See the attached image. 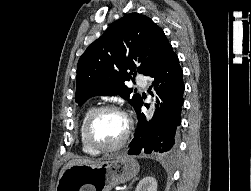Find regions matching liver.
Wrapping results in <instances>:
<instances>
[{"mask_svg": "<svg viewBox=\"0 0 251 191\" xmlns=\"http://www.w3.org/2000/svg\"><path fill=\"white\" fill-rule=\"evenodd\" d=\"M96 161H92V159H88V157H86V159H70V161H68L67 165H64V167H62L60 173H59V177L58 179H60L62 173H64L65 169H67V167H71V165H95Z\"/></svg>", "mask_w": 251, "mask_h": 191, "instance_id": "obj_1", "label": "liver"}]
</instances>
